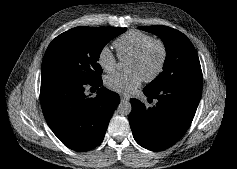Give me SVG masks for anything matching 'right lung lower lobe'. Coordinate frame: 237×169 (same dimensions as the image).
Segmentation results:
<instances>
[{
	"label": "right lung lower lobe",
	"instance_id": "98d812e1",
	"mask_svg": "<svg viewBox=\"0 0 237 169\" xmlns=\"http://www.w3.org/2000/svg\"><path fill=\"white\" fill-rule=\"evenodd\" d=\"M90 85L98 89L95 98L84 94ZM102 79L85 82L59 76H42L41 107L58 139L68 148L83 152L98 146L105 135L119 95L104 87Z\"/></svg>",
	"mask_w": 237,
	"mask_h": 169
}]
</instances>
